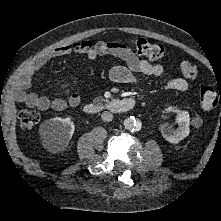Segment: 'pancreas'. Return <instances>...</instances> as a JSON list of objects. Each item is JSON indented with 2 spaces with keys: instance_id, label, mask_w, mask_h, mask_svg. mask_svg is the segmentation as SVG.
Listing matches in <instances>:
<instances>
[{
  "instance_id": "1",
  "label": "pancreas",
  "mask_w": 221,
  "mask_h": 221,
  "mask_svg": "<svg viewBox=\"0 0 221 221\" xmlns=\"http://www.w3.org/2000/svg\"><path fill=\"white\" fill-rule=\"evenodd\" d=\"M104 100H105V99L102 98V97H96V98L93 100V102H94L95 104H101Z\"/></svg>"
}]
</instances>
